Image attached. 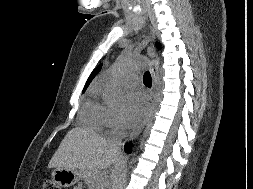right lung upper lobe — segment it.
<instances>
[{
  "label": "right lung upper lobe",
  "instance_id": "1",
  "mask_svg": "<svg viewBox=\"0 0 253 189\" xmlns=\"http://www.w3.org/2000/svg\"><path fill=\"white\" fill-rule=\"evenodd\" d=\"M101 67H102V64L99 65V66L91 73V75H90V77H89V79H88V81H87V83H86L84 89H86V88L88 87L89 83H90V82L92 81V79L98 74V72L100 71Z\"/></svg>",
  "mask_w": 253,
  "mask_h": 189
}]
</instances>
